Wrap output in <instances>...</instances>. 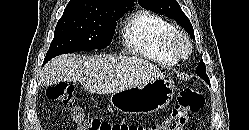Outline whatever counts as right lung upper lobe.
I'll list each match as a JSON object with an SVG mask.
<instances>
[{
  "instance_id": "1",
  "label": "right lung upper lobe",
  "mask_w": 249,
  "mask_h": 130,
  "mask_svg": "<svg viewBox=\"0 0 249 130\" xmlns=\"http://www.w3.org/2000/svg\"><path fill=\"white\" fill-rule=\"evenodd\" d=\"M134 5L133 0H70L66 9L78 11H96L110 5Z\"/></svg>"
}]
</instances>
